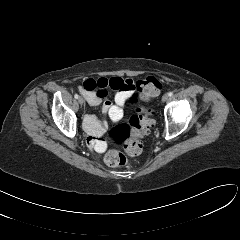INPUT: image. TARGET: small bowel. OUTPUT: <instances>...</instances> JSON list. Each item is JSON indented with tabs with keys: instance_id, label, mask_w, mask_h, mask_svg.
Masks as SVG:
<instances>
[{
	"instance_id": "c3829d8e",
	"label": "small bowel",
	"mask_w": 240,
	"mask_h": 240,
	"mask_svg": "<svg viewBox=\"0 0 240 240\" xmlns=\"http://www.w3.org/2000/svg\"><path fill=\"white\" fill-rule=\"evenodd\" d=\"M134 81L120 77L97 79L88 78L78 87L79 92L91 106L102 104V111L106 117L99 120L93 115H86L84 128L90 135V143L95 142V137L102 134L108 125V120L119 121L123 116L124 104L135 93ZM108 90L114 91V104L108 99Z\"/></svg>"
}]
</instances>
